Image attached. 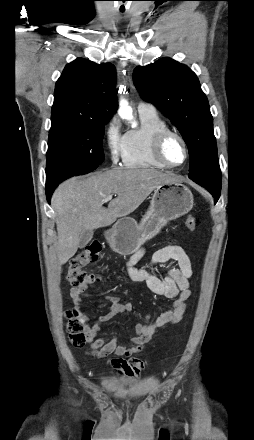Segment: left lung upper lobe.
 Segmentation results:
<instances>
[{
    "label": "left lung upper lobe",
    "instance_id": "5c2ea615",
    "mask_svg": "<svg viewBox=\"0 0 254 440\" xmlns=\"http://www.w3.org/2000/svg\"><path fill=\"white\" fill-rule=\"evenodd\" d=\"M133 79L141 97L156 105L180 131L190 156L189 178L219 199L221 171L212 115L195 73L186 65L162 58L137 66Z\"/></svg>",
    "mask_w": 254,
    "mask_h": 440
}]
</instances>
